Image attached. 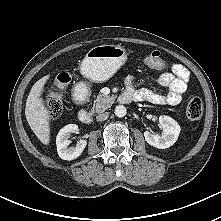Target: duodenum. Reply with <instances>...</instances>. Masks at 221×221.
I'll list each match as a JSON object with an SVG mask.
<instances>
[{
  "instance_id": "obj_1",
  "label": "duodenum",
  "mask_w": 221,
  "mask_h": 221,
  "mask_svg": "<svg viewBox=\"0 0 221 221\" xmlns=\"http://www.w3.org/2000/svg\"><path fill=\"white\" fill-rule=\"evenodd\" d=\"M74 99L78 101L81 99V96L76 93L74 94ZM118 100L120 103L125 104L130 101V96L127 93H122L119 95ZM78 118L82 123L89 124L91 122V113L87 109L82 108L78 112Z\"/></svg>"
}]
</instances>
